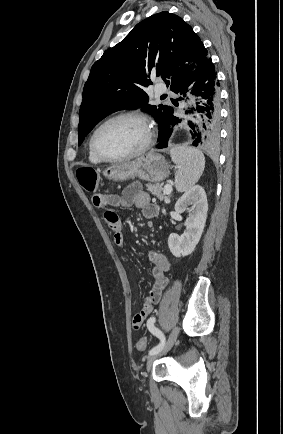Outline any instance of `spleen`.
Returning <instances> with one entry per match:
<instances>
[{
	"mask_svg": "<svg viewBox=\"0 0 283 434\" xmlns=\"http://www.w3.org/2000/svg\"><path fill=\"white\" fill-rule=\"evenodd\" d=\"M176 164L175 185L179 192L191 189L201 177L205 168L203 153L189 146H177L170 151Z\"/></svg>",
	"mask_w": 283,
	"mask_h": 434,
	"instance_id": "spleen-1",
	"label": "spleen"
}]
</instances>
